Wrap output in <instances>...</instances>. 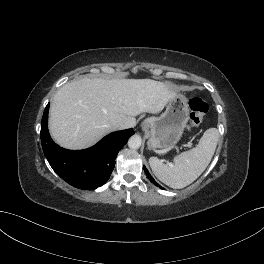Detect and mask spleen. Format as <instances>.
<instances>
[{"label": "spleen", "instance_id": "spleen-1", "mask_svg": "<svg viewBox=\"0 0 264 264\" xmlns=\"http://www.w3.org/2000/svg\"><path fill=\"white\" fill-rule=\"evenodd\" d=\"M219 139L216 128L207 129L198 145L174 158L173 163H163L156 157L149 159L155 176L171 188L181 189L194 182L210 163Z\"/></svg>", "mask_w": 264, "mask_h": 264}]
</instances>
